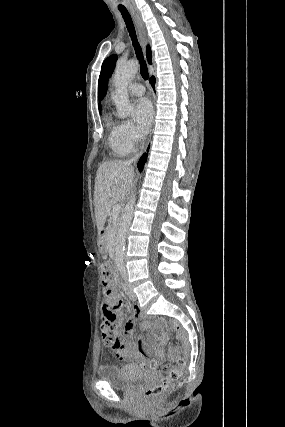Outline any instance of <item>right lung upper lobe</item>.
I'll list each match as a JSON object with an SVG mask.
<instances>
[{
	"instance_id": "1",
	"label": "right lung upper lobe",
	"mask_w": 285,
	"mask_h": 427,
	"mask_svg": "<svg viewBox=\"0 0 285 427\" xmlns=\"http://www.w3.org/2000/svg\"><path fill=\"white\" fill-rule=\"evenodd\" d=\"M147 59H148V62L149 63H151V51H150V48L149 47H147ZM99 110H101V105L99 104Z\"/></svg>"
}]
</instances>
